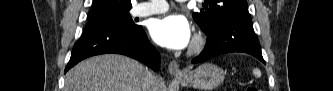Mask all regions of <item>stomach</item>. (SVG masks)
I'll return each mask as SVG.
<instances>
[{
	"label": "stomach",
	"instance_id": "0dacf381",
	"mask_svg": "<svg viewBox=\"0 0 333 91\" xmlns=\"http://www.w3.org/2000/svg\"><path fill=\"white\" fill-rule=\"evenodd\" d=\"M224 71L214 64H202L183 77L178 78L182 86L194 87L202 91H211L217 88L224 80Z\"/></svg>",
	"mask_w": 333,
	"mask_h": 91
}]
</instances>
